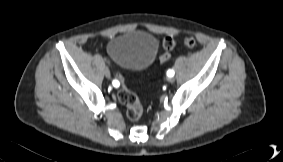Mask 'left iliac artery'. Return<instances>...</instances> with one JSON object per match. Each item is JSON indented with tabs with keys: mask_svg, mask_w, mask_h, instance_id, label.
<instances>
[{
	"mask_svg": "<svg viewBox=\"0 0 283 162\" xmlns=\"http://www.w3.org/2000/svg\"><path fill=\"white\" fill-rule=\"evenodd\" d=\"M174 74H175L174 71L171 70V69L167 71V76H168V77H173Z\"/></svg>",
	"mask_w": 283,
	"mask_h": 162,
	"instance_id": "44dca946",
	"label": "left iliac artery"
}]
</instances>
